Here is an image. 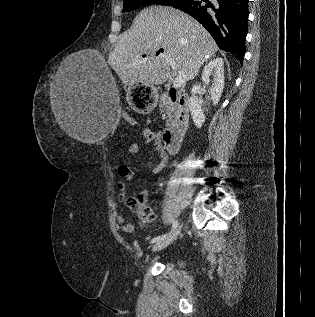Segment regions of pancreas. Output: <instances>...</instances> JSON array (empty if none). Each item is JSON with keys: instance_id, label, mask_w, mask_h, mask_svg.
I'll use <instances>...</instances> for the list:
<instances>
[{"instance_id": "pancreas-1", "label": "pancreas", "mask_w": 315, "mask_h": 317, "mask_svg": "<svg viewBox=\"0 0 315 317\" xmlns=\"http://www.w3.org/2000/svg\"><path fill=\"white\" fill-rule=\"evenodd\" d=\"M169 102V99H168V93H163L162 95H161V100H160V103H161V105H160V107L161 108H164V105L166 104V103H168ZM171 111H165V114H163V117H165L166 115H167V117H170L171 116ZM168 121V120H167Z\"/></svg>"}]
</instances>
